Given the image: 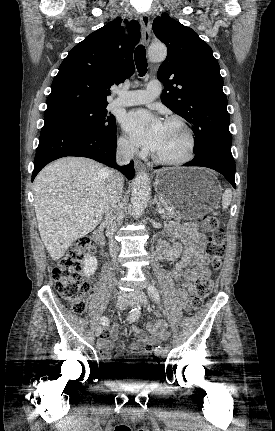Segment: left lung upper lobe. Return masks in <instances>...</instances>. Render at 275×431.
Returning a JSON list of instances; mask_svg holds the SVG:
<instances>
[{
    "instance_id": "left-lung-upper-lobe-1",
    "label": "left lung upper lobe",
    "mask_w": 275,
    "mask_h": 431,
    "mask_svg": "<svg viewBox=\"0 0 275 431\" xmlns=\"http://www.w3.org/2000/svg\"><path fill=\"white\" fill-rule=\"evenodd\" d=\"M152 29L168 48L157 73L164 84L161 100L192 125L195 154L231 147L228 102L212 49L191 28L167 14L157 17Z\"/></svg>"
}]
</instances>
